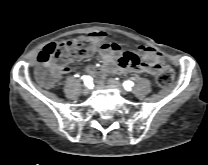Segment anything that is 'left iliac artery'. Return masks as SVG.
<instances>
[{
  "label": "left iliac artery",
  "mask_w": 208,
  "mask_h": 165,
  "mask_svg": "<svg viewBox=\"0 0 208 165\" xmlns=\"http://www.w3.org/2000/svg\"><path fill=\"white\" fill-rule=\"evenodd\" d=\"M134 85V83L132 82V81H125L124 83H123V86H124V88L126 89V90H130L131 89V87Z\"/></svg>",
  "instance_id": "left-iliac-artery-1"
}]
</instances>
